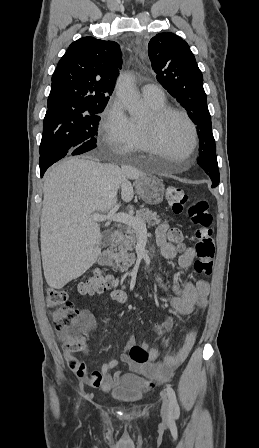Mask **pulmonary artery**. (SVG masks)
Masks as SVG:
<instances>
[{
	"mask_svg": "<svg viewBox=\"0 0 259 448\" xmlns=\"http://www.w3.org/2000/svg\"><path fill=\"white\" fill-rule=\"evenodd\" d=\"M141 93L144 99L151 101H161L165 98V91L158 84H148L142 87Z\"/></svg>",
	"mask_w": 259,
	"mask_h": 448,
	"instance_id": "obj_1",
	"label": "pulmonary artery"
}]
</instances>
